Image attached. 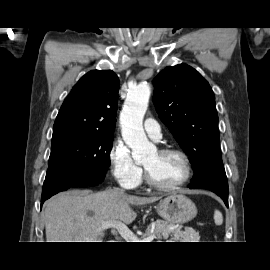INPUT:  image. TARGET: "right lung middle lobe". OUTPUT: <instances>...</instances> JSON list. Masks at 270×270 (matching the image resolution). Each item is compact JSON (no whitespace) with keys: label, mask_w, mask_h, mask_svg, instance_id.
Here are the masks:
<instances>
[{"label":"right lung middle lobe","mask_w":270,"mask_h":270,"mask_svg":"<svg viewBox=\"0 0 270 270\" xmlns=\"http://www.w3.org/2000/svg\"><path fill=\"white\" fill-rule=\"evenodd\" d=\"M112 143L113 133L54 131L46 176L67 168L89 175L106 172Z\"/></svg>","instance_id":"1"}]
</instances>
